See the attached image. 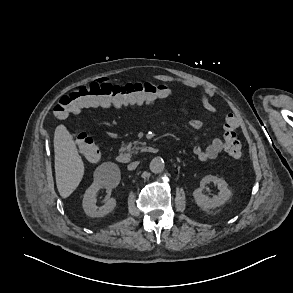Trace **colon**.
<instances>
[{
  "label": "colon",
  "instance_id": "obj_1",
  "mask_svg": "<svg viewBox=\"0 0 293 293\" xmlns=\"http://www.w3.org/2000/svg\"><path fill=\"white\" fill-rule=\"evenodd\" d=\"M166 85L151 82L113 84L108 81H93L64 95L55 105L53 113L62 119L91 106L121 107L144 101L159 100L169 96ZM238 119L229 114L224 121V150L233 158H238L242 146L236 135ZM74 140L82 156L89 162L100 159V150L96 139L82 131L74 132Z\"/></svg>",
  "mask_w": 293,
  "mask_h": 293
}]
</instances>
